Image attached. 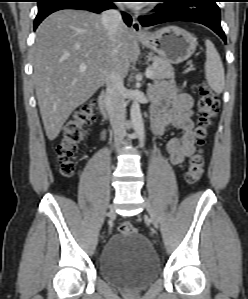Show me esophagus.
<instances>
[{
    "instance_id": "1",
    "label": "esophagus",
    "mask_w": 248,
    "mask_h": 299,
    "mask_svg": "<svg viewBox=\"0 0 248 299\" xmlns=\"http://www.w3.org/2000/svg\"><path fill=\"white\" fill-rule=\"evenodd\" d=\"M132 31L137 38H143L146 36V31L142 28L140 22L138 21L137 17L133 18L132 22Z\"/></svg>"
}]
</instances>
